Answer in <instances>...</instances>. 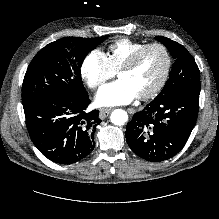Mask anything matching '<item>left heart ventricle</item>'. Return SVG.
Masks as SVG:
<instances>
[{
	"label": "left heart ventricle",
	"instance_id": "obj_1",
	"mask_svg": "<svg viewBox=\"0 0 219 219\" xmlns=\"http://www.w3.org/2000/svg\"><path fill=\"white\" fill-rule=\"evenodd\" d=\"M166 65V58L160 48L148 49L130 70L122 71L118 77L128 81L137 95L148 92L159 81Z\"/></svg>",
	"mask_w": 219,
	"mask_h": 219
}]
</instances>
